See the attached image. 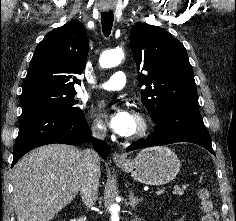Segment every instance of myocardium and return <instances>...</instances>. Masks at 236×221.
Here are the masks:
<instances>
[{
    "label": "myocardium",
    "instance_id": "f54148a6",
    "mask_svg": "<svg viewBox=\"0 0 236 221\" xmlns=\"http://www.w3.org/2000/svg\"><path fill=\"white\" fill-rule=\"evenodd\" d=\"M133 116L137 122V129L135 130V132L127 136L126 139L130 142L138 141L145 138L151 130V123L147 116L140 112L134 113Z\"/></svg>",
    "mask_w": 236,
    "mask_h": 221
}]
</instances>
